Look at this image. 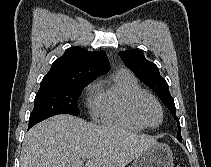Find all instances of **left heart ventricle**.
Instances as JSON below:
<instances>
[{"label":"left heart ventricle","mask_w":211,"mask_h":167,"mask_svg":"<svg viewBox=\"0 0 211 167\" xmlns=\"http://www.w3.org/2000/svg\"><path fill=\"white\" fill-rule=\"evenodd\" d=\"M141 114L145 121L151 125L157 124L161 118L157 105L150 99L143 100L141 104Z\"/></svg>","instance_id":"b2bd125f"}]
</instances>
